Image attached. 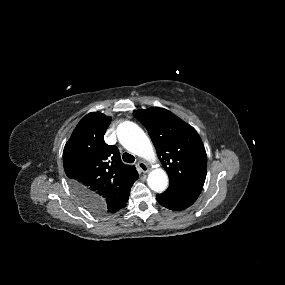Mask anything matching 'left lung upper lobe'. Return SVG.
I'll return each mask as SVG.
<instances>
[{"label":"left lung upper lobe","instance_id":"1","mask_svg":"<svg viewBox=\"0 0 285 285\" xmlns=\"http://www.w3.org/2000/svg\"><path fill=\"white\" fill-rule=\"evenodd\" d=\"M134 116L147 129L170 183L202 190L207 155L198 133L163 108L137 110Z\"/></svg>","mask_w":285,"mask_h":285}]
</instances>
